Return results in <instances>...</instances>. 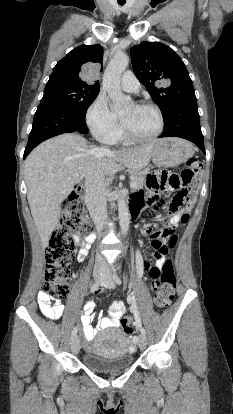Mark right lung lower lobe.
Instances as JSON below:
<instances>
[{
	"mask_svg": "<svg viewBox=\"0 0 233 414\" xmlns=\"http://www.w3.org/2000/svg\"><path fill=\"white\" fill-rule=\"evenodd\" d=\"M75 131L88 132L85 115L51 103H41L34 115L33 127L23 158L25 159L42 141L62 133Z\"/></svg>",
	"mask_w": 233,
	"mask_h": 414,
	"instance_id": "obj_1",
	"label": "right lung lower lobe"
}]
</instances>
